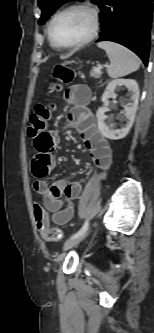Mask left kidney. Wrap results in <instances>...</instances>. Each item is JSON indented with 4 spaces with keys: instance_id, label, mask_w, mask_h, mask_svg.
<instances>
[{
    "instance_id": "1",
    "label": "left kidney",
    "mask_w": 154,
    "mask_h": 333,
    "mask_svg": "<svg viewBox=\"0 0 154 333\" xmlns=\"http://www.w3.org/2000/svg\"><path fill=\"white\" fill-rule=\"evenodd\" d=\"M120 86H125L131 92V97L128 100L127 105L124 106L126 123L121 128L114 129L112 118L105 115V110L103 108L99 107L96 112L98 129L104 137L111 140L122 139L129 133L134 123L138 107L139 87L137 82L133 79H116L110 81L102 95L101 101H108L109 98L115 95V89Z\"/></svg>"
}]
</instances>
